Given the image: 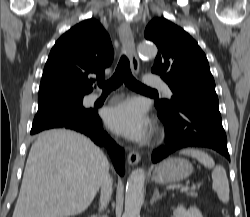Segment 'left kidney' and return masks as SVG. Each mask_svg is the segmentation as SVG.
Masks as SVG:
<instances>
[{
  "label": "left kidney",
  "instance_id": "1",
  "mask_svg": "<svg viewBox=\"0 0 250 217\" xmlns=\"http://www.w3.org/2000/svg\"><path fill=\"white\" fill-rule=\"evenodd\" d=\"M173 214L174 217H203L200 210L196 207H190L186 210L182 205L178 206Z\"/></svg>",
  "mask_w": 250,
  "mask_h": 217
}]
</instances>
